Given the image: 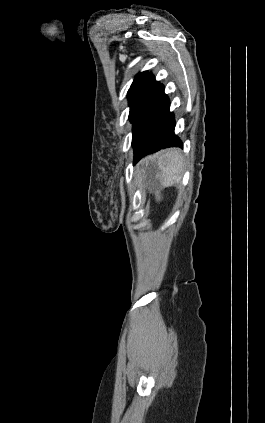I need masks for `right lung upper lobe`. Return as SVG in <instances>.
<instances>
[{
    "mask_svg": "<svg viewBox=\"0 0 265 423\" xmlns=\"http://www.w3.org/2000/svg\"><path fill=\"white\" fill-rule=\"evenodd\" d=\"M159 85V82L155 81L152 73L148 71L139 73L128 91V98L139 96L148 97Z\"/></svg>",
    "mask_w": 265,
    "mask_h": 423,
    "instance_id": "obj_1",
    "label": "right lung upper lobe"
}]
</instances>
